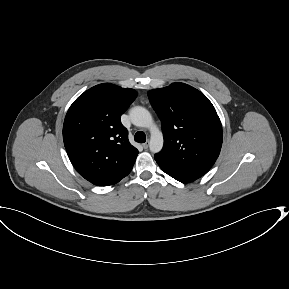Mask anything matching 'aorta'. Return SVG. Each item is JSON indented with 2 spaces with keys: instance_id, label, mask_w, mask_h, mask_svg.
Instances as JSON below:
<instances>
[{
  "instance_id": "aorta-1",
  "label": "aorta",
  "mask_w": 289,
  "mask_h": 289,
  "mask_svg": "<svg viewBox=\"0 0 289 289\" xmlns=\"http://www.w3.org/2000/svg\"><path fill=\"white\" fill-rule=\"evenodd\" d=\"M130 118L132 123L138 127L150 129L151 137L149 142L150 151L158 153L161 151L164 143L163 134L154 124L149 111L143 107L135 106L130 110Z\"/></svg>"
}]
</instances>
